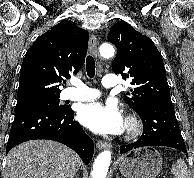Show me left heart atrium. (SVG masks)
<instances>
[{
  "mask_svg": "<svg viewBox=\"0 0 194 178\" xmlns=\"http://www.w3.org/2000/svg\"><path fill=\"white\" fill-rule=\"evenodd\" d=\"M81 124L92 132L105 134H121L125 130V120L115 104L104 105L100 102L83 105L78 112Z\"/></svg>",
  "mask_w": 194,
  "mask_h": 178,
  "instance_id": "1",
  "label": "left heart atrium"
}]
</instances>
